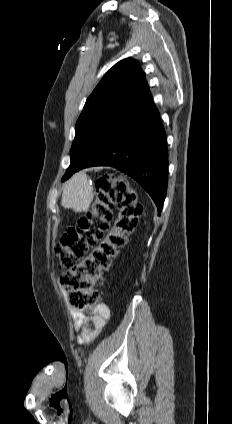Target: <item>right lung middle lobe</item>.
I'll use <instances>...</instances> for the list:
<instances>
[{
  "label": "right lung middle lobe",
  "instance_id": "obj_1",
  "mask_svg": "<svg viewBox=\"0 0 232 424\" xmlns=\"http://www.w3.org/2000/svg\"><path fill=\"white\" fill-rule=\"evenodd\" d=\"M132 109L125 105H106L81 113L75 126L70 166L62 181L80 170L89 155L113 130L130 121Z\"/></svg>",
  "mask_w": 232,
  "mask_h": 424
}]
</instances>
